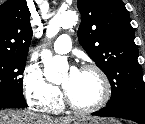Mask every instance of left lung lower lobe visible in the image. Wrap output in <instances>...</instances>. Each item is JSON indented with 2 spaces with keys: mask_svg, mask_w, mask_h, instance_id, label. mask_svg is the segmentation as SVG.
Instances as JSON below:
<instances>
[{
  "mask_svg": "<svg viewBox=\"0 0 145 124\" xmlns=\"http://www.w3.org/2000/svg\"><path fill=\"white\" fill-rule=\"evenodd\" d=\"M93 115L101 117H119L132 120L138 124H145V105L126 102L114 106H107Z\"/></svg>",
  "mask_w": 145,
  "mask_h": 124,
  "instance_id": "obj_1",
  "label": "left lung lower lobe"
}]
</instances>
